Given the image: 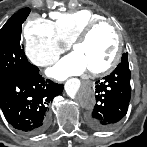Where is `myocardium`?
Masks as SVG:
<instances>
[{
  "label": "myocardium",
  "instance_id": "1",
  "mask_svg": "<svg viewBox=\"0 0 147 147\" xmlns=\"http://www.w3.org/2000/svg\"><path fill=\"white\" fill-rule=\"evenodd\" d=\"M101 26H110L115 30L116 35H117V47H116L114 56L108 65H106L105 67H103L99 70H89V74L93 77L105 76V75L109 74L110 72H112L117 67V65L121 59L122 51H123V39H122V35L120 33V30L111 21L106 20V19H102V20H98V21H94V22L90 23L82 31H80L74 37V39L70 42L71 43L70 46L74 50L77 45L85 42L88 39V37L90 36V34L95 29H97Z\"/></svg>",
  "mask_w": 147,
  "mask_h": 147
}]
</instances>
